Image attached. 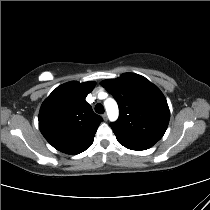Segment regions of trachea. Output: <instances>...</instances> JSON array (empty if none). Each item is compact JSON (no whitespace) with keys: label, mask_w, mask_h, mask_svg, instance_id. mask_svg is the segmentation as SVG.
<instances>
[{"label":"trachea","mask_w":210,"mask_h":210,"mask_svg":"<svg viewBox=\"0 0 210 210\" xmlns=\"http://www.w3.org/2000/svg\"><path fill=\"white\" fill-rule=\"evenodd\" d=\"M95 111L98 114H103L104 113V107H103V105L102 104H96Z\"/></svg>","instance_id":"trachea-1"}]
</instances>
